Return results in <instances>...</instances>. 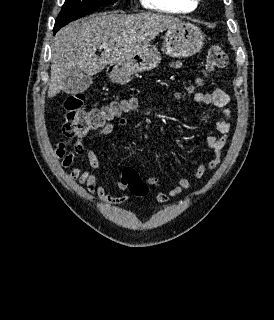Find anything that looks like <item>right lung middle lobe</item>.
<instances>
[{
	"instance_id": "obj_1",
	"label": "right lung middle lobe",
	"mask_w": 274,
	"mask_h": 320,
	"mask_svg": "<svg viewBox=\"0 0 274 320\" xmlns=\"http://www.w3.org/2000/svg\"><path fill=\"white\" fill-rule=\"evenodd\" d=\"M116 1L117 0H65L61 12L55 21L54 30H59L61 27L85 16L94 9L115 3Z\"/></svg>"
}]
</instances>
